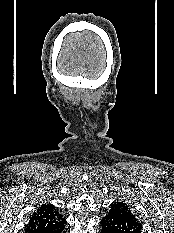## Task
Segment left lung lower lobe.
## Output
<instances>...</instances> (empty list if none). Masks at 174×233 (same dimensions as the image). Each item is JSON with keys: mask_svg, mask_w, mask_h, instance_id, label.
<instances>
[{"mask_svg": "<svg viewBox=\"0 0 174 233\" xmlns=\"http://www.w3.org/2000/svg\"><path fill=\"white\" fill-rule=\"evenodd\" d=\"M101 233H142L141 223L134 218L108 212L100 221Z\"/></svg>", "mask_w": 174, "mask_h": 233, "instance_id": "left-lung-lower-lobe-1", "label": "left lung lower lobe"}]
</instances>
